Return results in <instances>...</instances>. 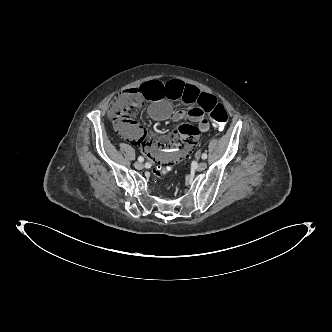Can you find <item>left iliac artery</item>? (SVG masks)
Masks as SVG:
<instances>
[{"instance_id": "obj_1", "label": "left iliac artery", "mask_w": 332, "mask_h": 332, "mask_svg": "<svg viewBox=\"0 0 332 332\" xmlns=\"http://www.w3.org/2000/svg\"><path fill=\"white\" fill-rule=\"evenodd\" d=\"M201 157H202V159H207V154L203 153Z\"/></svg>"}]
</instances>
